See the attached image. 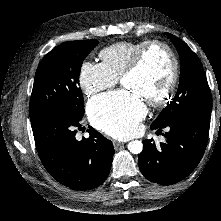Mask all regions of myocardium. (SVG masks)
<instances>
[{
  "instance_id": "myocardium-1",
  "label": "myocardium",
  "mask_w": 221,
  "mask_h": 221,
  "mask_svg": "<svg viewBox=\"0 0 221 221\" xmlns=\"http://www.w3.org/2000/svg\"><path fill=\"white\" fill-rule=\"evenodd\" d=\"M153 47L162 48L167 53L168 58L170 60L169 79L164 91L158 97L146 100V102L150 106H161L165 104L172 97L177 85L178 73H179V63L176 54L166 42L161 40H149L144 42L137 49L130 64L124 70L121 76V80L137 72L140 69L147 52Z\"/></svg>"
}]
</instances>
